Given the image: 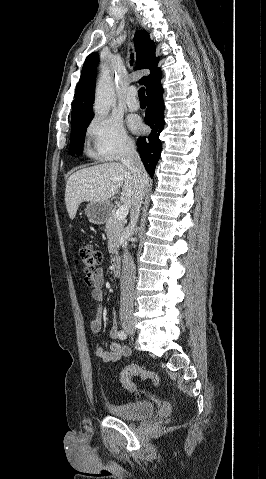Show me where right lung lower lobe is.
Instances as JSON below:
<instances>
[{
    "mask_svg": "<svg viewBox=\"0 0 266 479\" xmlns=\"http://www.w3.org/2000/svg\"><path fill=\"white\" fill-rule=\"evenodd\" d=\"M148 108L145 122L152 129L148 137L138 138V147L145 169L153 177L156 164L161 153L159 134L164 128V101L161 83L152 86L147 91Z\"/></svg>",
    "mask_w": 266,
    "mask_h": 479,
    "instance_id": "1",
    "label": "right lung lower lobe"
}]
</instances>
